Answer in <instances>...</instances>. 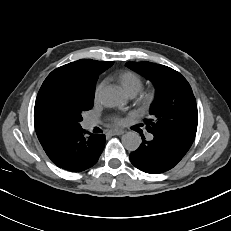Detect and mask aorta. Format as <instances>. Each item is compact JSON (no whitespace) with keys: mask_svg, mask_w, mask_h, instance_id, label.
Here are the masks:
<instances>
[{"mask_svg":"<svg viewBox=\"0 0 231 231\" xmlns=\"http://www.w3.org/2000/svg\"><path fill=\"white\" fill-rule=\"evenodd\" d=\"M101 103L106 107H120L125 104V100L119 89L108 86L99 94ZM123 146L130 151H135L141 144V139L136 132H127L122 136Z\"/></svg>","mask_w":231,"mask_h":231,"instance_id":"762f6f07","label":"aorta"}]
</instances>
